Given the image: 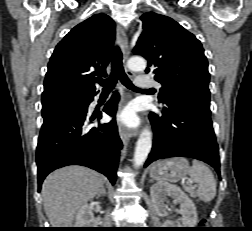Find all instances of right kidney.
Returning a JSON list of instances; mask_svg holds the SVG:
<instances>
[{
  "label": "right kidney",
  "mask_w": 252,
  "mask_h": 231,
  "mask_svg": "<svg viewBox=\"0 0 252 231\" xmlns=\"http://www.w3.org/2000/svg\"><path fill=\"white\" fill-rule=\"evenodd\" d=\"M96 226V221L92 212V208L85 204L83 205L76 215V228H94Z\"/></svg>",
  "instance_id": "obj_1"
}]
</instances>
